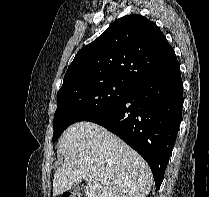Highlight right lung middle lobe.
Returning a JSON list of instances; mask_svg holds the SVG:
<instances>
[{
  "mask_svg": "<svg viewBox=\"0 0 209 197\" xmlns=\"http://www.w3.org/2000/svg\"><path fill=\"white\" fill-rule=\"evenodd\" d=\"M133 88L115 80L80 82L62 87L57 95L53 142L68 126L117 103Z\"/></svg>",
  "mask_w": 209,
  "mask_h": 197,
  "instance_id": "obj_1",
  "label": "right lung middle lobe"
}]
</instances>
